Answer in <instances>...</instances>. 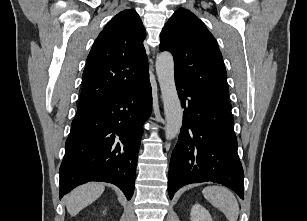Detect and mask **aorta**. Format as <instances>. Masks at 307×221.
<instances>
[{
    "mask_svg": "<svg viewBox=\"0 0 307 221\" xmlns=\"http://www.w3.org/2000/svg\"><path fill=\"white\" fill-rule=\"evenodd\" d=\"M156 73L164 105L166 139H173L180 132L183 110L175 86L174 60L171 53L162 52L157 56Z\"/></svg>",
    "mask_w": 307,
    "mask_h": 221,
    "instance_id": "762f6f07",
    "label": "aorta"
}]
</instances>
